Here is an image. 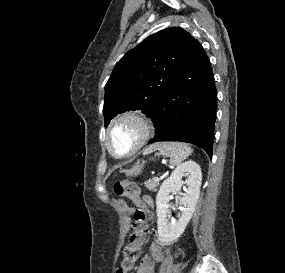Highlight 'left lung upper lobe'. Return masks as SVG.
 Listing matches in <instances>:
<instances>
[{
  "label": "left lung upper lobe",
  "instance_id": "left-lung-upper-lobe-1",
  "mask_svg": "<svg viewBox=\"0 0 285 273\" xmlns=\"http://www.w3.org/2000/svg\"><path fill=\"white\" fill-rule=\"evenodd\" d=\"M192 40L182 28L171 27L125 54L105 85V127L125 111L141 109L149 116L177 78Z\"/></svg>",
  "mask_w": 285,
  "mask_h": 273
}]
</instances>
